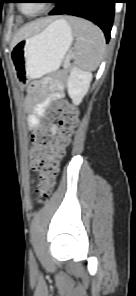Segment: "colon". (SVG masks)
I'll list each match as a JSON object with an SVG mask.
<instances>
[{
  "label": "colon",
  "instance_id": "5ec220e1",
  "mask_svg": "<svg viewBox=\"0 0 136 296\" xmlns=\"http://www.w3.org/2000/svg\"><path fill=\"white\" fill-rule=\"evenodd\" d=\"M53 123L58 125L54 142L48 135V127ZM77 124L78 114L75 107L65 100L56 101L44 114L42 127L32 135V141L36 147L31 151L30 165L33 170L39 172L36 186L38 200L46 199L51 195L60 161L70 144ZM49 144L52 145V149L45 157L43 148Z\"/></svg>",
  "mask_w": 136,
  "mask_h": 296
}]
</instances>
